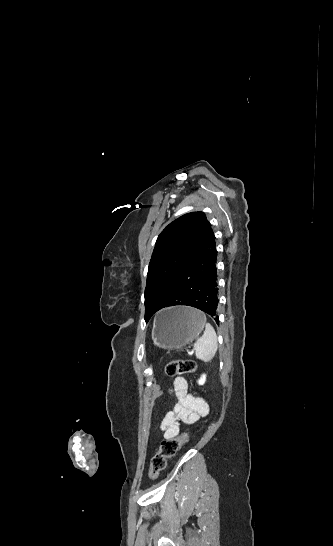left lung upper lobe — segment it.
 Segmentation results:
<instances>
[{
	"label": "left lung upper lobe",
	"instance_id": "5c2ea615",
	"mask_svg": "<svg viewBox=\"0 0 333 546\" xmlns=\"http://www.w3.org/2000/svg\"><path fill=\"white\" fill-rule=\"evenodd\" d=\"M210 229L203 212H192L170 223L158 236L145 288L146 322L166 303L174 282L196 258ZM203 267V262L198 264L195 273Z\"/></svg>",
	"mask_w": 333,
	"mask_h": 546
}]
</instances>
